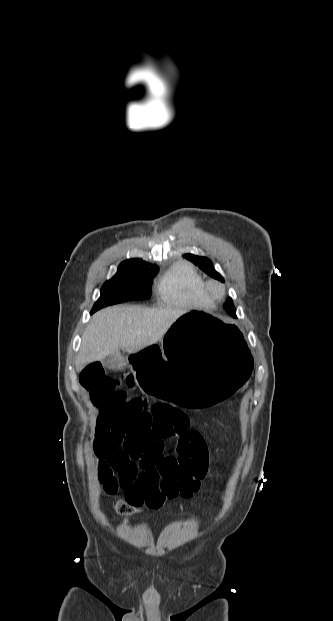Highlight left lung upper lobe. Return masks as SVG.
I'll list each match as a JSON object with an SVG mask.
<instances>
[{"mask_svg": "<svg viewBox=\"0 0 333 621\" xmlns=\"http://www.w3.org/2000/svg\"><path fill=\"white\" fill-rule=\"evenodd\" d=\"M186 259L190 260L192 263L197 265L200 269H202L205 273H207L210 277L215 278L220 281H224L222 276L215 271L212 262L206 258L201 256H196L193 254H185L183 255ZM225 310L233 317H236V309L233 306V301L229 298L225 303Z\"/></svg>", "mask_w": 333, "mask_h": 621, "instance_id": "obj_1", "label": "left lung upper lobe"}]
</instances>
